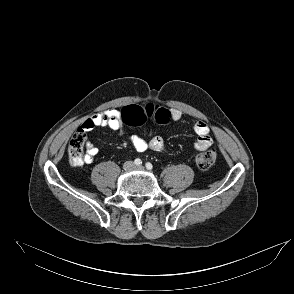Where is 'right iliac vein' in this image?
Masks as SVG:
<instances>
[{
    "label": "right iliac vein",
    "mask_w": 294,
    "mask_h": 294,
    "mask_svg": "<svg viewBox=\"0 0 294 294\" xmlns=\"http://www.w3.org/2000/svg\"><path fill=\"white\" fill-rule=\"evenodd\" d=\"M125 169L126 170H131V169H133V164L132 163H127L126 165H125Z\"/></svg>",
    "instance_id": "obj_1"
}]
</instances>
